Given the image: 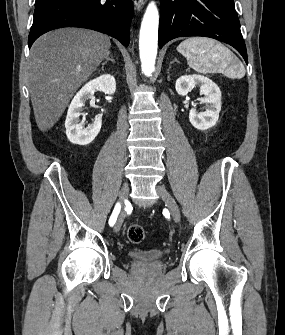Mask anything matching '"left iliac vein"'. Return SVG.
I'll return each mask as SVG.
<instances>
[{"instance_id": "obj_1", "label": "left iliac vein", "mask_w": 285, "mask_h": 335, "mask_svg": "<svg viewBox=\"0 0 285 335\" xmlns=\"http://www.w3.org/2000/svg\"><path fill=\"white\" fill-rule=\"evenodd\" d=\"M156 191L161 197V199L166 203L168 209L171 212V216L175 222L180 221V210L178 205L176 204L174 198L171 196V194L165 189V187L158 185L156 187Z\"/></svg>"}]
</instances>
